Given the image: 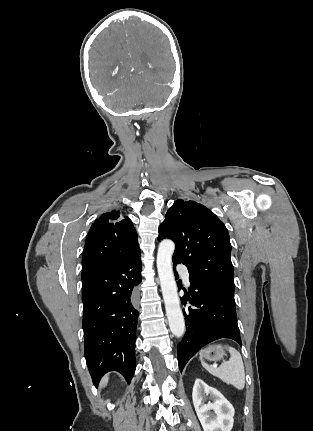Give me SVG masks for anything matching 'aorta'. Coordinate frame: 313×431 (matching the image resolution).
<instances>
[{"instance_id":"obj_1","label":"aorta","mask_w":313,"mask_h":431,"mask_svg":"<svg viewBox=\"0 0 313 431\" xmlns=\"http://www.w3.org/2000/svg\"><path fill=\"white\" fill-rule=\"evenodd\" d=\"M174 249L175 244L169 239H165L159 244L157 269L169 327L173 335L179 338L185 333V321L180 308L177 285L172 269V255Z\"/></svg>"}]
</instances>
